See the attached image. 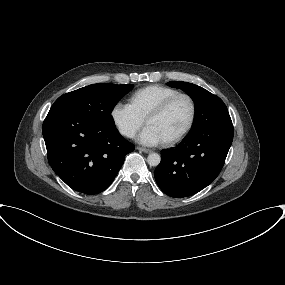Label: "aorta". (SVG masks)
<instances>
[{
  "label": "aorta",
  "mask_w": 285,
  "mask_h": 285,
  "mask_svg": "<svg viewBox=\"0 0 285 285\" xmlns=\"http://www.w3.org/2000/svg\"><path fill=\"white\" fill-rule=\"evenodd\" d=\"M161 161V157L158 153H150L147 157V162L150 166H158Z\"/></svg>",
  "instance_id": "obj_1"
}]
</instances>
